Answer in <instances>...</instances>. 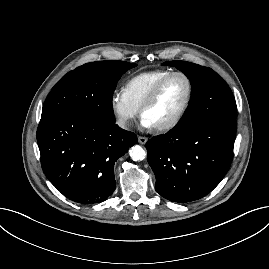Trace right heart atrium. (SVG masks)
I'll return each mask as SVG.
<instances>
[{"instance_id": "obj_1", "label": "right heart atrium", "mask_w": 269, "mask_h": 269, "mask_svg": "<svg viewBox=\"0 0 269 269\" xmlns=\"http://www.w3.org/2000/svg\"><path fill=\"white\" fill-rule=\"evenodd\" d=\"M110 108L116 124L124 130L131 127L133 120L138 114V109L131 104L123 90H115L112 93Z\"/></svg>"}]
</instances>
